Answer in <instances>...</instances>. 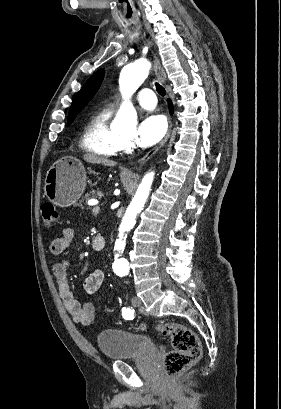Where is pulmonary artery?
Instances as JSON below:
<instances>
[{
  "instance_id": "1",
  "label": "pulmonary artery",
  "mask_w": 281,
  "mask_h": 409,
  "mask_svg": "<svg viewBox=\"0 0 281 409\" xmlns=\"http://www.w3.org/2000/svg\"><path fill=\"white\" fill-rule=\"evenodd\" d=\"M158 100V97L156 94H154L153 90H142L141 94H138L136 96V101L138 104L144 108V109H153L156 106V102ZM121 104L123 106H129L131 104V99L129 97H126L125 100L121 99Z\"/></svg>"
}]
</instances>
